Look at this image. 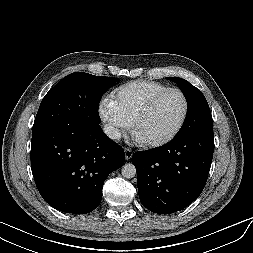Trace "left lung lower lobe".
<instances>
[{
  "label": "left lung lower lobe",
  "instance_id": "0a47b994",
  "mask_svg": "<svg viewBox=\"0 0 253 253\" xmlns=\"http://www.w3.org/2000/svg\"><path fill=\"white\" fill-rule=\"evenodd\" d=\"M213 152V128L177 135L162 147L136 152L132 162L141 203L162 214L187 207L206 185Z\"/></svg>",
  "mask_w": 253,
  "mask_h": 253
}]
</instances>
